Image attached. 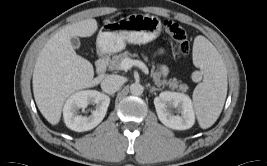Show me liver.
Masks as SVG:
<instances>
[{
    "mask_svg": "<svg viewBox=\"0 0 267 166\" xmlns=\"http://www.w3.org/2000/svg\"><path fill=\"white\" fill-rule=\"evenodd\" d=\"M109 22V21H105ZM95 19L66 26L51 37L41 50L33 72V93L38 109L52 125L61 119L66 99L78 90L96 86L92 64L76 54L72 37H90L97 30Z\"/></svg>",
    "mask_w": 267,
    "mask_h": 166,
    "instance_id": "liver-1",
    "label": "liver"
}]
</instances>
